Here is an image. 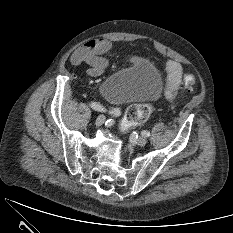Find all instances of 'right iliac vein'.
<instances>
[{
	"label": "right iliac vein",
	"mask_w": 233,
	"mask_h": 233,
	"mask_svg": "<svg viewBox=\"0 0 233 233\" xmlns=\"http://www.w3.org/2000/svg\"><path fill=\"white\" fill-rule=\"evenodd\" d=\"M105 121V117L103 115H99L97 118H96V121H95V124L96 126H101Z\"/></svg>",
	"instance_id": "right-iliac-vein-1"
}]
</instances>
